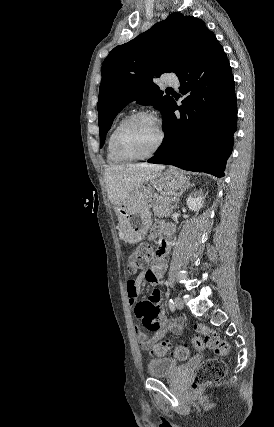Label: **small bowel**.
<instances>
[{
    "instance_id": "c3829d8e",
    "label": "small bowel",
    "mask_w": 274,
    "mask_h": 427,
    "mask_svg": "<svg viewBox=\"0 0 274 427\" xmlns=\"http://www.w3.org/2000/svg\"><path fill=\"white\" fill-rule=\"evenodd\" d=\"M166 224H160L156 227V232L160 236L161 228ZM173 229L171 232H173ZM168 263L163 258H158L151 264V270L142 272L131 278L127 282V301L130 305H134L140 295L141 285L144 281L159 283L165 274ZM154 274V275H153ZM148 275V276H147ZM153 277H149L152 276ZM164 306L160 299V291L151 289L149 291V299H140L136 305V311L133 312L135 335L139 346L143 350L151 349L153 345L166 336L168 333L181 334L183 330V320L181 318L169 319L162 318ZM139 327H145L146 332H156L153 336H147Z\"/></svg>"
}]
</instances>
